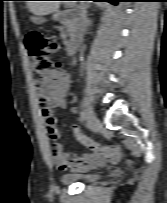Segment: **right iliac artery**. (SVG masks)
<instances>
[{"label": "right iliac artery", "mask_w": 167, "mask_h": 203, "mask_svg": "<svg viewBox=\"0 0 167 203\" xmlns=\"http://www.w3.org/2000/svg\"><path fill=\"white\" fill-rule=\"evenodd\" d=\"M80 120L82 122H85L87 120V116H86V113L84 111L80 112Z\"/></svg>", "instance_id": "right-iliac-artery-1"}]
</instances>
